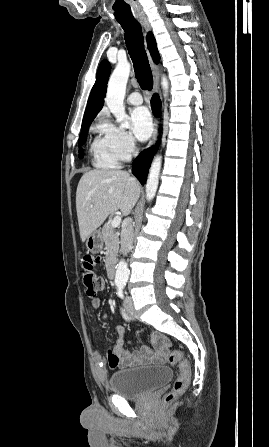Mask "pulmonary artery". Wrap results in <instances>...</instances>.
Returning a JSON list of instances; mask_svg holds the SVG:
<instances>
[{"mask_svg": "<svg viewBox=\"0 0 269 447\" xmlns=\"http://www.w3.org/2000/svg\"><path fill=\"white\" fill-rule=\"evenodd\" d=\"M127 101H128L129 104L139 105V104L143 103V97H142V95L139 92L134 91V92L129 94V96L127 98Z\"/></svg>", "mask_w": 269, "mask_h": 447, "instance_id": "e3ab8cb5", "label": "pulmonary artery"}]
</instances>
